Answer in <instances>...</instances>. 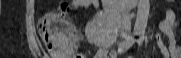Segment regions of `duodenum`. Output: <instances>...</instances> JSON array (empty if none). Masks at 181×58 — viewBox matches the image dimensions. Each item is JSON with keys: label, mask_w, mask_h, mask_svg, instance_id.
I'll list each match as a JSON object with an SVG mask.
<instances>
[{"label": "duodenum", "mask_w": 181, "mask_h": 58, "mask_svg": "<svg viewBox=\"0 0 181 58\" xmlns=\"http://www.w3.org/2000/svg\"><path fill=\"white\" fill-rule=\"evenodd\" d=\"M102 2L107 10L119 14L135 6L138 0H102Z\"/></svg>", "instance_id": "obj_1"}]
</instances>
